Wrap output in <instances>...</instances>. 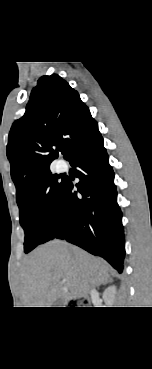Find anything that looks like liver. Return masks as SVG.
<instances>
[{
  "instance_id": "liver-1",
  "label": "liver",
  "mask_w": 152,
  "mask_h": 369,
  "mask_svg": "<svg viewBox=\"0 0 152 369\" xmlns=\"http://www.w3.org/2000/svg\"><path fill=\"white\" fill-rule=\"evenodd\" d=\"M109 277L104 260L67 242L53 240L36 248L25 260L21 274L24 307H52L85 297ZM62 280V282H61Z\"/></svg>"
}]
</instances>
